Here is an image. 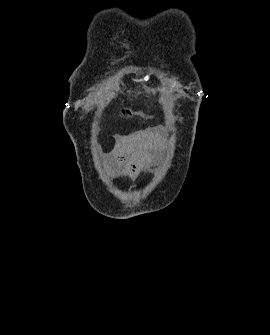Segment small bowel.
Returning <instances> with one entry per match:
<instances>
[{
	"label": "small bowel",
	"mask_w": 270,
	"mask_h": 335,
	"mask_svg": "<svg viewBox=\"0 0 270 335\" xmlns=\"http://www.w3.org/2000/svg\"><path fill=\"white\" fill-rule=\"evenodd\" d=\"M162 128L140 130L127 136L110 162L114 177L134 180L155 164L162 153Z\"/></svg>",
	"instance_id": "small-bowel-1"
}]
</instances>
